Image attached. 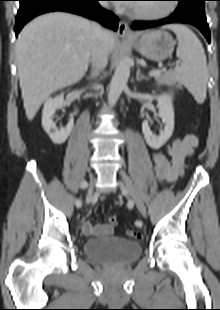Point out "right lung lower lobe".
<instances>
[{"mask_svg":"<svg viewBox=\"0 0 220 310\" xmlns=\"http://www.w3.org/2000/svg\"><path fill=\"white\" fill-rule=\"evenodd\" d=\"M99 0H19L20 8L15 22L16 36L23 26L34 17L51 12L65 11L78 14L100 22L114 31L118 28V18L104 10L98 4Z\"/></svg>","mask_w":220,"mask_h":310,"instance_id":"obj_1","label":"right lung lower lobe"}]
</instances>
